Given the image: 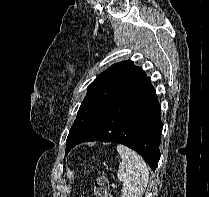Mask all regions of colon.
Wrapping results in <instances>:
<instances>
[{
	"label": "colon",
	"mask_w": 209,
	"mask_h": 197,
	"mask_svg": "<svg viewBox=\"0 0 209 197\" xmlns=\"http://www.w3.org/2000/svg\"><path fill=\"white\" fill-rule=\"evenodd\" d=\"M94 192L97 197H111L109 180L104 176L96 178Z\"/></svg>",
	"instance_id": "5ec220e1"
}]
</instances>
